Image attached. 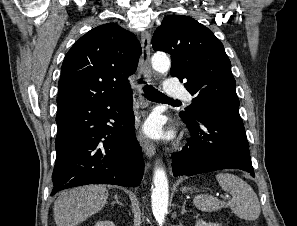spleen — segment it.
Wrapping results in <instances>:
<instances>
[{
  "label": "spleen",
  "mask_w": 297,
  "mask_h": 226,
  "mask_svg": "<svg viewBox=\"0 0 297 226\" xmlns=\"http://www.w3.org/2000/svg\"><path fill=\"white\" fill-rule=\"evenodd\" d=\"M216 179L221 188L232 195V199L225 204L212 195H198L193 201L197 209L212 212L230 207L241 219L254 221L259 217L261 207L258 197L247 182L231 173H219Z\"/></svg>",
  "instance_id": "1"
}]
</instances>
